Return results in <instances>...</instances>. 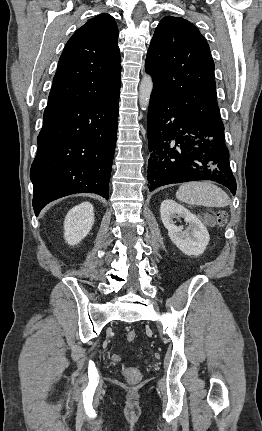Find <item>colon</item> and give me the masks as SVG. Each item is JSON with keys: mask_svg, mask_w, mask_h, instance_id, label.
<instances>
[{"mask_svg": "<svg viewBox=\"0 0 262 431\" xmlns=\"http://www.w3.org/2000/svg\"><path fill=\"white\" fill-rule=\"evenodd\" d=\"M217 221L219 225H222L226 221V214L224 212H218ZM138 337L137 332L129 331L126 335V339L129 342L134 341ZM123 374L129 383L135 384L141 380V372L135 367H125Z\"/></svg>", "mask_w": 262, "mask_h": 431, "instance_id": "5ec220e1", "label": "colon"}]
</instances>
